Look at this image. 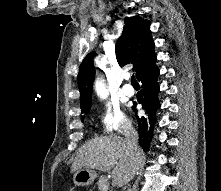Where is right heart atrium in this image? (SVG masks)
<instances>
[{"mask_svg": "<svg viewBox=\"0 0 221 191\" xmlns=\"http://www.w3.org/2000/svg\"><path fill=\"white\" fill-rule=\"evenodd\" d=\"M100 130L106 134L120 135L128 132L131 124L117 106H106L99 115Z\"/></svg>", "mask_w": 221, "mask_h": 191, "instance_id": "obj_1", "label": "right heart atrium"}]
</instances>
